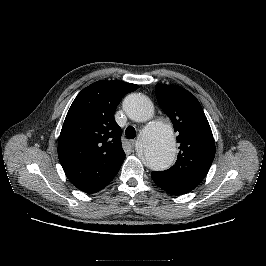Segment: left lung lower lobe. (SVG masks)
Segmentation results:
<instances>
[{
  "label": "left lung lower lobe",
  "instance_id": "1",
  "mask_svg": "<svg viewBox=\"0 0 266 266\" xmlns=\"http://www.w3.org/2000/svg\"><path fill=\"white\" fill-rule=\"evenodd\" d=\"M153 181L164 191L172 195H183L189 193L193 189L180 185L172 180L165 178L164 176L158 174L156 171H153L152 174Z\"/></svg>",
  "mask_w": 266,
  "mask_h": 266
}]
</instances>
